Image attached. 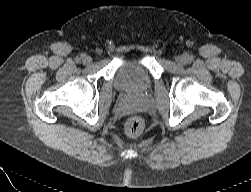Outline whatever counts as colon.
I'll list each match as a JSON object with an SVG mask.
<instances>
[{"mask_svg": "<svg viewBox=\"0 0 251 192\" xmlns=\"http://www.w3.org/2000/svg\"><path fill=\"white\" fill-rule=\"evenodd\" d=\"M143 121L136 116L130 117L125 123V133L129 137H137L143 131Z\"/></svg>", "mask_w": 251, "mask_h": 192, "instance_id": "obj_1", "label": "colon"}]
</instances>
